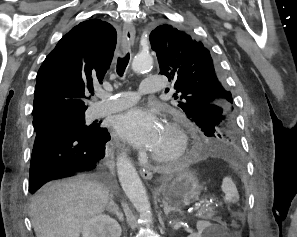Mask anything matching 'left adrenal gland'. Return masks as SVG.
<instances>
[{
    "mask_svg": "<svg viewBox=\"0 0 297 237\" xmlns=\"http://www.w3.org/2000/svg\"><path fill=\"white\" fill-rule=\"evenodd\" d=\"M172 211H176V212H179V213H182L180 209L178 208H175V207H170L168 206L166 203L164 204V213L166 216H168V214Z\"/></svg>",
    "mask_w": 297,
    "mask_h": 237,
    "instance_id": "1",
    "label": "left adrenal gland"
}]
</instances>
